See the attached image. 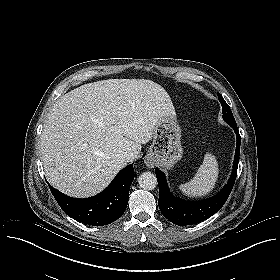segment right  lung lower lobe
<instances>
[{
  "label": "right lung lower lobe",
  "instance_id": "obj_1",
  "mask_svg": "<svg viewBox=\"0 0 280 280\" xmlns=\"http://www.w3.org/2000/svg\"><path fill=\"white\" fill-rule=\"evenodd\" d=\"M134 179L133 164L122 169L100 194L78 199L49 188L63 211L72 218L92 226H103L119 219L126 210L130 185Z\"/></svg>",
  "mask_w": 280,
  "mask_h": 280
}]
</instances>
